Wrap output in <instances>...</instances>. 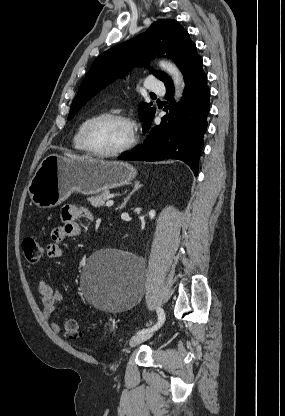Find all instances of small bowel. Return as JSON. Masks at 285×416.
<instances>
[{
    "mask_svg": "<svg viewBox=\"0 0 285 416\" xmlns=\"http://www.w3.org/2000/svg\"><path fill=\"white\" fill-rule=\"evenodd\" d=\"M79 219L93 220L89 210L82 207L66 206L61 211L62 225L51 231L52 242L48 244L46 253L49 258H58L62 255L60 243L70 237L81 235L82 228L78 224ZM38 292L43 305V316L48 321L51 329L56 334L61 332L60 325L53 319V313L62 301V294L47 282L41 281L38 284Z\"/></svg>",
    "mask_w": 285,
    "mask_h": 416,
    "instance_id": "small-bowel-1",
    "label": "small bowel"
}]
</instances>
